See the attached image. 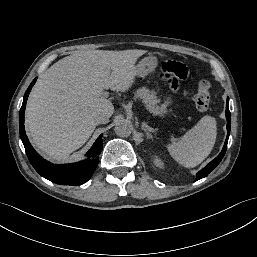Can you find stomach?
I'll return each mask as SVG.
<instances>
[{
  "label": "stomach",
  "mask_w": 257,
  "mask_h": 257,
  "mask_svg": "<svg viewBox=\"0 0 257 257\" xmlns=\"http://www.w3.org/2000/svg\"><path fill=\"white\" fill-rule=\"evenodd\" d=\"M157 58L155 56H147L143 58L136 66L135 73L137 77H145L150 72L153 71L155 64L157 63ZM166 105L171 103V99L168 97L166 100Z\"/></svg>",
  "instance_id": "stomach-1"
}]
</instances>
